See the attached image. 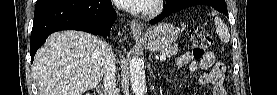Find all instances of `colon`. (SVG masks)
I'll return each mask as SVG.
<instances>
[{
	"label": "colon",
	"mask_w": 277,
	"mask_h": 95,
	"mask_svg": "<svg viewBox=\"0 0 277 95\" xmlns=\"http://www.w3.org/2000/svg\"><path fill=\"white\" fill-rule=\"evenodd\" d=\"M189 37L193 54L200 58L212 45V36L202 27H196L190 30Z\"/></svg>",
	"instance_id": "5ec220e1"
}]
</instances>
